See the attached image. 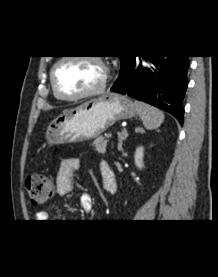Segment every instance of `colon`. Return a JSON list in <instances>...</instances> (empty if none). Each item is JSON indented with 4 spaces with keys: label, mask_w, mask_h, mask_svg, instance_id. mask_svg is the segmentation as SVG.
<instances>
[{
    "label": "colon",
    "mask_w": 218,
    "mask_h": 277,
    "mask_svg": "<svg viewBox=\"0 0 218 277\" xmlns=\"http://www.w3.org/2000/svg\"><path fill=\"white\" fill-rule=\"evenodd\" d=\"M26 188L30 201L35 205H40L51 198L54 184L48 176L35 173L28 176Z\"/></svg>",
    "instance_id": "obj_1"
}]
</instances>
